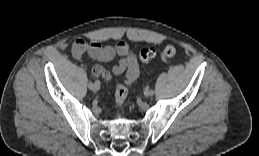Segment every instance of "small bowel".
<instances>
[{"mask_svg": "<svg viewBox=\"0 0 259 156\" xmlns=\"http://www.w3.org/2000/svg\"><path fill=\"white\" fill-rule=\"evenodd\" d=\"M71 51L76 60H80L84 54L103 62H110L118 56L120 59L111 71L101 66H94L91 69L94 76H101L106 81L110 80L112 74L120 75L126 72L125 84L130 85L139 76L137 58L125 42H120L115 46H102L96 41L77 40L73 43Z\"/></svg>", "mask_w": 259, "mask_h": 156, "instance_id": "small-bowel-1", "label": "small bowel"}]
</instances>
